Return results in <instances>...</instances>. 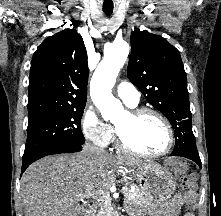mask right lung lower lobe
<instances>
[{"label": "right lung lower lobe", "mask_w": 221, "mask_h": 216, "mask_svg": "<svg viewBox=\"0 0 221 216\" xmlns=\"http://www.w3.org/2000/svg\"><path fill=\"white\" fill-rule=\"evenodd\" d=\"M81 150H82V145H65V146H60V147L54 148V149H50V150L38 155L37 157H35L31 160H27V161L22 162L21 173H23L31 163H33L34 161H36L42 157H45L48 155H53V154L79 152Z\"/></svg>", "instance_id": "obj_1"}]
</instances>
